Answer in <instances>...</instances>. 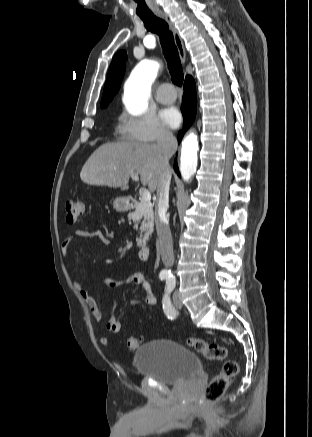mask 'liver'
<instances>
[{"label": "liver", "instance_id": "liver-1", "mask_svg": "<svg viewBox=\"0 0 312 437\" xmlns=\"http://www.w3.org/2000/svg\"><path fill=\"white\" fill-rule=\"evenodd\" d=\"M160 173L157 144L116 142L96 149L84 164L80 178L88 185L127 190L131 174H137L141 183L154 192Z\"/></svg>", "mask_w": 312, "mask_h": 437}]
</instances>
